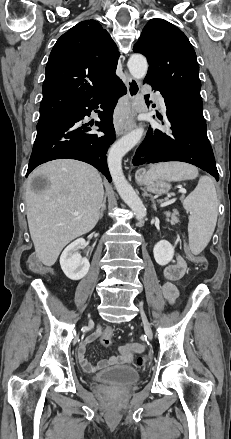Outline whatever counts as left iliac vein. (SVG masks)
I'll use <instances>...</instances> for the list:
<instances>
[{
	"label": "left iliac vein",
	"mask_w": 231,
	"mask_h": 439,
	"mask_svg": "<svg viewBox=\"0 0 231 439\" xmlns=\"http://www.w3.org/2000/svg\"><path fill=\"white\" fill-rule=\"evenodd\" d=\"M138 307H139L140 315H141V318H142V321H143V324H144V328H145L147 333H150L151 332V328H150L148 319L146 317V314H145V312L143 310V307L141 305H138Z\"/></svg>",
	"instance_id": "4c4485c4"
}]
</instances>
